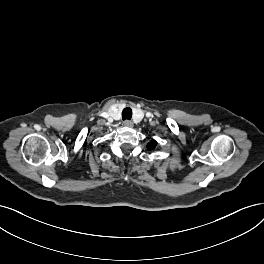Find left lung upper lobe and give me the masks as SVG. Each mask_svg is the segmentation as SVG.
Returning <instances> with one entry per match:
<instances>
[{
  "mask_svg": "<svg viewBox=\"0 0 264 264\" xmlns=\"http://www.w3.org/2000/svg\"><path fill=\"white\" fill-rule=\"evenodd\" d=\"M156 145H157V142H156L155 140H152V141H150V142L148 143L147 148H148L149 150H152V149H154V148L156 147Z\"/></svg>",
  "mask_w": 264,
  "mask_h": 264,
  "instance_id": "1",
  "label": "left lung upper lobe"
}]
</instances>
